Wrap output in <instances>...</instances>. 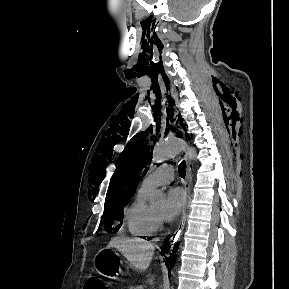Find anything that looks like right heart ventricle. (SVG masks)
I'll return each instance as SVG.
<instances>
[{"instance_id": "1", "label": "right heart ventricle", "mask_w": 289, "mask_h": 289, "mask_svg": "<svg viewBox=\"0 0 289 289\" xmlns=\"http://www.w3.org/2000/svg\"><path fill=\"white\" fill-rule=\"evenodd\" d=\"M147 194L148 191L139 189L125 210L127 229L136 237H151L157 232L146 201Z\"/></svg>"}]
</instances>
